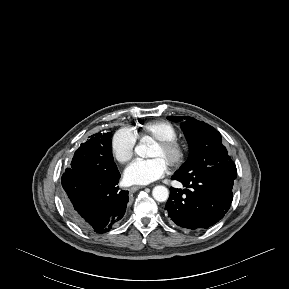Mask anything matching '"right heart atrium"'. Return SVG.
<instances>
[{
  "instance_id": "d8ad5b80",
  "label": "right heart atrium",
  "mask_w": 289,
  "mask_h": 289,
  "mask_svg": "<svg viewBox=\"0 0 289 289\" xmlns=\"http://www.w3.org/2000/svg\"><path fill=\"white\" fill-rule=\"evenodd\" d=\"M136 142L137 138L131 130L127 128L117 130L110 142L114 158L121 164L127 163L134 155Z\"/></svg>"
}]
</instances>
